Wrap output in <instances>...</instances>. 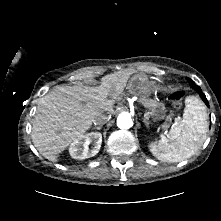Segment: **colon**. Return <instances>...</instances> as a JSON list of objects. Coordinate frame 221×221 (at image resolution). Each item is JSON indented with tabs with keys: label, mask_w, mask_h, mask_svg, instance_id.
I'll return each mask as SVG.
<instances>
[{
	"label": "colon",
	"mask_w": 221,
	"mask_h": 221,
	"mask_svg": "<svg viewBox=\"0 0 221 221\" xmlns=\"http://www.w3.org/2000/svg\"><path fill=\"white\" fill-rule=\"evenodd\" d=\"M169 98L173 103V105L175 106V108L177 109L181 108L182 98H183V93L181 91L173 92Z\"/></svg>",
	"instance_id": "5ec220e1"
}]
</instances>
